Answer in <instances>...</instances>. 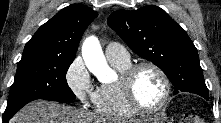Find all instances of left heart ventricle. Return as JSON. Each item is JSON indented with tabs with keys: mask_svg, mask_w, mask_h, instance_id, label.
I'll use <instances>...</instances> for the list:
<instances>
[{
	"mask_svg": "<svg viewBox=\"0 0 221 123\" xmlns=\"http://www.w3.org/2000/svg\"><path fill=\"white\" fill-rule=\"evenodd\" d=\"M134 93L143 106H156L164 95L160 76L150 68L140 70L134 79Z\"/></svg>",
	"mask_w": 221,
	"mask_h": 123,
	"instance_id": "1",
	"label": "left heart ventricle"
}]
</instances>
